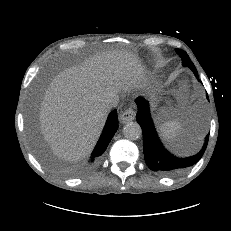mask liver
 Masks as SVG:
<instances>
[{
    "mask_svg": "<svg viewBox=\"0 0 231 231\" xmlns=\"http://www.w3.org/2000/svg\"><path fill=\"white\" fill-rule=\"evenodd\" d=\"M143 80L139 58L123 50L97 53L59 73L39 111L40 130L53 153L67 161L88 156L105 125L107 99Z\"/></svg>",
    "mask_w": 231,
    "mask_h": 231,
    "instance_id": "1",
    "label": "liver"
}]
</instances>
